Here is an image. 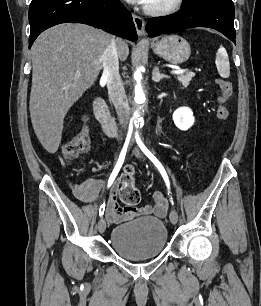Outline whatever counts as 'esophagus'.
Returning <instances> with one entry per match:
<instances>
[{"mask_svg": "<svg viewBox=\"0 0 261 306\" xmlns=\"http://www.w3.org/2000/svg\"><path fill=\"white\" fill-rule=\"evenodd\" d=\"M132 16L137 34L139 37H142L144 35L145 21L138 15L133 14Z\"/></svg>", "mask_w": 261, "mask_h": 306, "instance_id": "1", "label": "esophagus"}]
</instances>
